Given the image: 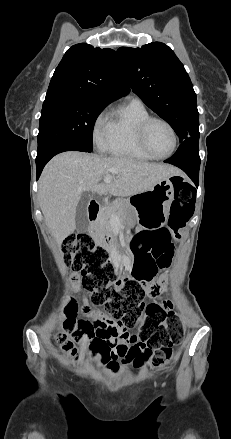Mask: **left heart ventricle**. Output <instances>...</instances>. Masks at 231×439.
I'll return each mask as SVG.
<instances>
[{
    "label": "left heart ventricle",
    "mask_w": 231,
    "mask_h": 439,
    "mask_svg": "<svg viewBox=\"0 0 231 439\" xmlns=\"http://www.w3.org/2000/svg\"><path fill=\"white\" fill-rule=\"evenodd\" d=\"M147 140L152 151L157 155H165L173 146V137L166 125L155 122L151 125Z\"/></svg>",
    "instance_id": "1"
}]
</instances>
